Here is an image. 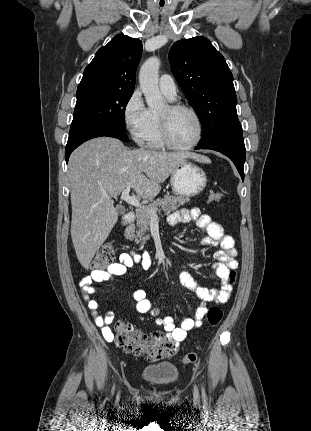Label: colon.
<instances>
[{"instance_id":"5ec220e1","label":"colon","mask_w":311,"mask_h":431,"mask_svg":"<svg viewBox=\"0 0 311 431\" xmlns=\"http://www.w3.org/2000/svg\"><path fill=\"white\" fill-rule=\"evenodd\" d=\"M222 199L219 192L211 191L208 195L209 202L215 203ZM114 247L111 243L102 244L97 251L92 267L103 269L109 266L114 260ZM236 273L231 270L228 275V284L235 281ZM223 317L221 308L213 306L207 311V321L210 326L218 325ZM115 341L125 352L136 356H145L149 361H157L165 357H171L178 351V344L165 335L158 334L148 337L146 334L136 330L124 320H117L114 323ZM198 358L196 351L186 354L181 362L183 364L194 363Z\"/></svg>"}]
</instances>
